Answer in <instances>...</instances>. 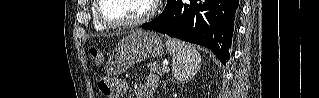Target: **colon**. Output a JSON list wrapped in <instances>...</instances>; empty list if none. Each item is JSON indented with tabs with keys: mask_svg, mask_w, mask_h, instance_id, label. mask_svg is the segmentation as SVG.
Wrapping results in <instances>:
<instances>
[{
	"mask_svg": "<svg viewBox=\"0 0 319 98\" xmlns=\"http://www.w3.org/2000/svg\"><path fill=\"white\" fill-rule=\"evenodd\" d=\"M90 57L96 62L101 63L102 62V54L100 50L96 47L90 48Z\"/></svg>",
	"mask_w": 319,
	"mask_h": 98,
	"instance_id": "colon-1",
	"label": "colon"
}]
</instances>
